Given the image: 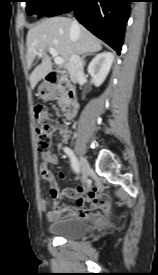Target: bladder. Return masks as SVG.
Masks as SVG:
<instances>
[{"label": "bladder", "instance_id": "bladder-1", "mask_svg": "<svg viewBox=\"0 0 158 275\" xmlns=\"http://www.w3.org/2000/svg\"><path fill=\"white\" fill-rule=\"evenodd\" d=\"M47 231L57 237L78 239L87 235L88 224L78 217H66L49 223Z\"/></svg>", "mask_w": 158, "mask_h": 275}]
</instances>
